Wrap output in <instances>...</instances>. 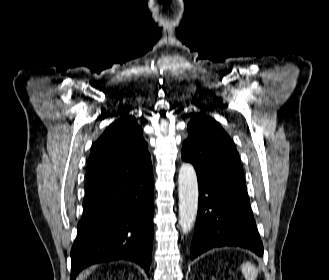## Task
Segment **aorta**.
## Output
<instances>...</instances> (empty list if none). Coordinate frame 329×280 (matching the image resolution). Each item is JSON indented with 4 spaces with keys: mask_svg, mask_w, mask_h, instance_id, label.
<instances>
[{
    "mask_svg": "<svg viewBox=\"0 0 329 280\" xmlns=\"http://www.w3.org/2000/svg\"><path fill=\"white\" fill-rule=\"evenodd\" d=\"M179 224L187 234L192 229L198 211V182L192 164L183 163L178 174Z\"/></svg>",
    "mask_w": 329,
    "mask_h": 280,
    "instance_id": "762f6f07",
    "label": "aorta"
}]
</instances>
